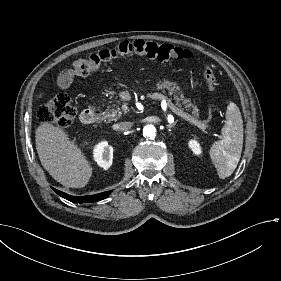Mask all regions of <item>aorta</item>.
I'll return each instance as SVG.
<instances>
[{"mask_svg": "<svg viewBox=\"0 0 281 281\" xmlns=\"http://www.w3.org/2000/svg\"><path fill=\"white\" fill-rule=\"evenodd\" d=\"M155 134H156V129H155V127L153 125H146L143 128V135L145 137H148L150 139H154Z\"/></svg>", "mask_w": 281, "mask_h": 281, "instance_id": "762f6f07", "label": "aorta"}]
</instances>
